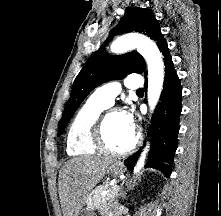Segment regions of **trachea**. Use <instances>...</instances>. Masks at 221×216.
Wrapping results in <instances>:
<instances>
[{
	"mask_svg": "<svg viewBox=\"0 0 221 216\" xmlns=\"http://www.w3.org/2000/svg\"><path fill=\"white\" fill-rule=\"evenodd\" d=\"M137 93H143V88L138 89Z\"/></svg>",
	"mask_w": 221,
	"mask_h": 216,
	"instance_id": "1",
	"label": "trachea"
}]
</instances>
